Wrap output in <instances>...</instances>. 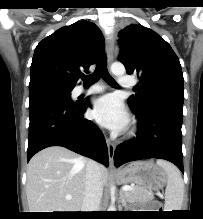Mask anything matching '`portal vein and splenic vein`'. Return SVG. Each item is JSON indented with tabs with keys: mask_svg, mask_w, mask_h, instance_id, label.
I'll use <instances>...</instances> for the list:
<instances>
[{
	"mask_svg": "<svg viewBox=\"0 0 203 219\" xmlns=\"http://www.w3.org/2000/svg\"><path fill=\"white\" fill-rule=\"evenodd\" d=\"M122 190L123 191H129V190H132V187H130V186H123L122 187ZM72 198V196L71 195H66V199H71Z\"/></svg>",
	"mask_w": 203,
	"mask_h": 219,
	"instance_id": "obj_1",
	"label": "portal vein and splenic vein"
}]
</instances>
